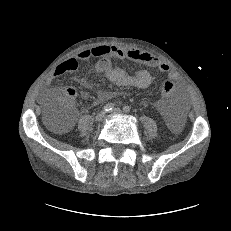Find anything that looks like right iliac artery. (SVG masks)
Segmentation results:
<instances>
[{"label":"right iliac artery","instance_id":"right-iliac-artery-1","mask_svg":"<svg viewBox=\"0 0 231 231\" xmlns=\"http://www.w3.org/2000/svg\"><path fill=\"white\" fill-rule=\"evenodd\" d=\"M114 108V104L113 103H108L103 107V110L105 112L111 111Z\"/></svg>","mask_w":231,"mask_h":231}]
</instances>
